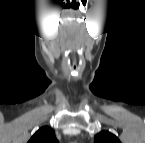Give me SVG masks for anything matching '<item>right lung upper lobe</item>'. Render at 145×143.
Listing matches in <instances>:
<instances>
[{"label": "right lung upper lobe", "instance_id": "cb5924a9", "mask_svg": "<svg viewBox=\"0 0 145 143\" xmlns=\"http://www.w3.org/2000/svg\"><path fill=\"white\" fill-rule=\"evenodd\" d=\"M28 143H58L54 130L44 126L31 137Z\"/></svg>", "mask_w": 145, "mask_h": 143}]
</instances>
